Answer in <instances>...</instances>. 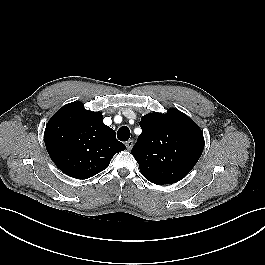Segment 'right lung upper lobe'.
<instances>
[{"mask_svg": "<svg viewBox=\"0 0 265 265\" xmlns=\"http://www.w3.org/2000/svg\"><path fill=\"white\" fill-rule=\"evenodd\" d=\"M44 140L56 166L77 179L103 171L116 153L126 149L115 131L104 125L101 112L86 110L81 102L57 111L46 125Z\"/></svg>", "mask_w": 265, "mask_h": 265, "instance_id": "right-lung-upper-lobe-1", "label": "right lung upper lobe"}]
</instances>
